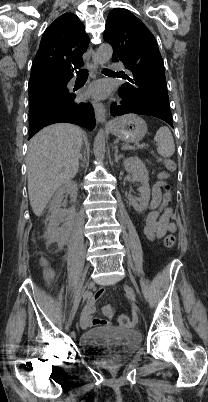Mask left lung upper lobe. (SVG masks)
<instances>
[{
	"mask_svg": "<svg viewBox=\"0 0 208 402\" xmlns=\"http://www.w3.org/2000/svg\"><path fill=\"white\" fill-rule=\"evenodd\" d=\"M104 40L113 47V61H122L130 70V83L124 93L138 101L169 107L164 63L157 42L143 22L123 8L113 9L108 17Z\"/></svg>",
	"mask_w": 208,
	"mask_h": 402,
	"instance_id": "obj_1",
	"label": "left lung upper lobe"
}]
</instances>
